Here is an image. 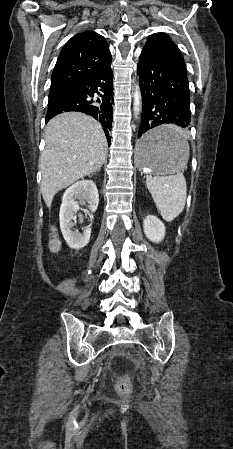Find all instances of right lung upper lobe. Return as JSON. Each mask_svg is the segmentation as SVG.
<instances>
[{
    "label": "right lung upper lobe",
    "instance_id": "1",
    "mask_svg": "<svg viewBox=\"0 0 233 449\" xmlns=\"http://www.w3.org/2000/svg\"><path fill=\"white\" fill-rule=\"evenodd\" d=\"M111 62L105 38L93 31L73 36L63 47L55 65L50 90L72 87Z\"/></svg>",
    "mask_w": 233,
    "mask_h": 449
}]
</instances>
